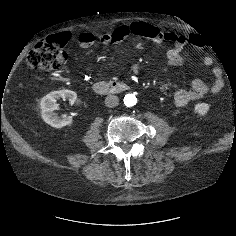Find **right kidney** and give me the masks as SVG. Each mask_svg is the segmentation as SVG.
<instances>
[{"label": "right kidney", "instance_id": "ca27d5eb", "mask_svg": "<svg viewBox=\"0 0 236 236\" xmlns=\"http://www.w3.org/2000/svg\"><path fill=\"white\" fill-rule=\"evenodd\" d=\"M60 98L68 99L70 104L73 105L77 99V94L68 89L52 91L41 99L40 108L43 120L52 127L62 128L72 123V116L63 115L59 116L54 112L57 109L56 101Z\"/></svg>", "mask_w": 236, "mask_h": 236}]
</instances>
